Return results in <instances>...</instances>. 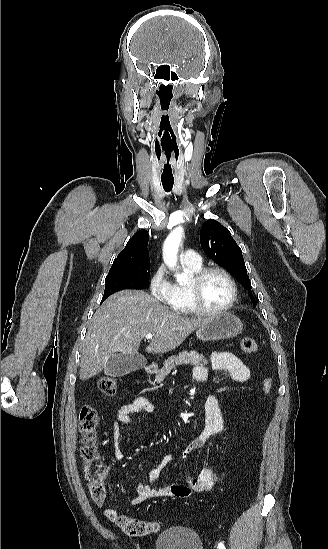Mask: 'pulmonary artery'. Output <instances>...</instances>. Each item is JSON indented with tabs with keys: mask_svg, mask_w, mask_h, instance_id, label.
<instances>
[{
	"mask_svg": "<svg viewBox=\"0 0 328 549\" xmlns=\"http://www.w3.org/2000/svg\"><path fill=\"white\" fill-rule=\"evenodd\" d=\"M199 255L191 249H185L181 253V259L185 261H196L198 260Z\"/></svg>",
	"mask_w": 328,
	"mask_h": 549,
	"instance_id": "1",
	"label": "pulmonary artery"
}]
</instances>
